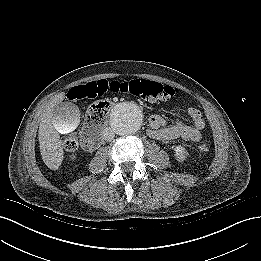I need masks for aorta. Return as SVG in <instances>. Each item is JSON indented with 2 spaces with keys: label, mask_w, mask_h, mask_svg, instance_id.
I'll return each mask as SVG.
<instances>
[{
  "label": "aorta",
  "mask_w": 261,
  "mask_h": 261,
  "mask_svg": "<svg viewBox=\"0 0 261 261\" xmlns=\"http://www.w3.org/2000/svg\"><path fill=\"white\" fill-rule=\"evenodd\" d=\"M143 122V113L135 102L117 104L110 113V125L113 131L120 136L136 133Z\"/></svg>",
  "instance_id": "1"
}]
</instances>
